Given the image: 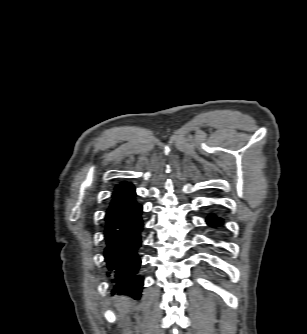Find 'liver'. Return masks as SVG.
<instances>
[{"label": "liver", "mask_w": 307, "mask_h": 334, "mask_svg": "<svg viewBox=\"0 0 307 334\" xmlns=\"http://www.w3.org/2000/svg\"><path fill=\"white\" fill-rule=\"evenodd\" d=\"M120 303H121V304H124V303H125V299L122 298V299L120 300Z\"/></svg>", "instance_id": "1"}]
</instances>
